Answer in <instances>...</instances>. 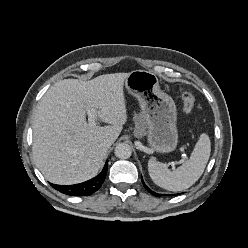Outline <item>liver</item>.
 Returning a JSON list of instances; mask_svg holds the SVG:
<instances>
[{"instance_id": "liver-1", "label": "liver", "mask_w": 248, "mask_h": 248, "mask_svg": "<svg viewBox=\"0 0 248 248\" xmlns=\"http://www.w3.org/2000/svg\"><path fill=\"white\" fill-rule=\"evenodd\" d=\"M129 73L100 75L90 81L64 79L51 86L33 117V157L46 180L71 185L94 177L127 121L124 83ZM108 126H90L88 110Z\"/></svg>"}]
</instances>
